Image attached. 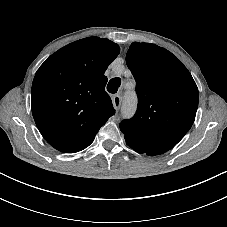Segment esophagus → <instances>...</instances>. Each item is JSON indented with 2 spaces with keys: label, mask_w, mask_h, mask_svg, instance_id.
I'll return each mask as SVG.
<instances>
[{
  "label": "esophagus",
  "mask_w": 227,
  "mask_h": 227,
  "mask_svg": "<svg viewBox=\"0 0 227 227\" xmlns=\"http://www.w3.org/2000/svg\"><path fill=\"white\" fill-rule=\"evenodd\" d=\"M121 100H122V98H121L120 95L113 96L112 102H113L114 108L116 110H119L120 109V107H121Z\"/></svg>",
  "instance_id": "esophagus-1"
}]
</instances>
